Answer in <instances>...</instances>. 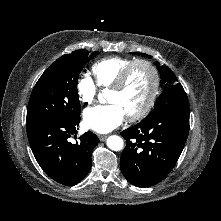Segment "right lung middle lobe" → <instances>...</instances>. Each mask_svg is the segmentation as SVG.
Returning a JSON list of instances; mask_svg holds the SVG:
<instances>
[{"mask_svg":"<svg viewBox=\"0 0 221 221\" xmlns=\"http://www.w3.org/2000/svg\"><path fill=\"white\" fill-rule=\"evenodd\" d=\"M98 52L76 50L58 58L37 81L27 107V123L63 117L80 118L77 83L85 64Z\"/></svg>","mask_w":221,"mask_h":221,"instance_id":"obj_1","label":"right lung middle lobe"}]
</instances>
